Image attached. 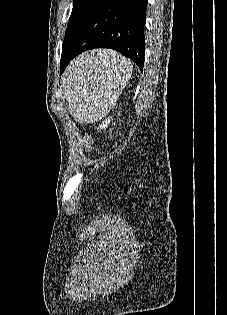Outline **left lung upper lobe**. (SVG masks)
<instances>
[{
    "label": "left lung upper lobe",
    "instance_id": "1",
    "mask_svg": "<svg viewBox=\"0 0 227 315\" xmlns=\"http://www.w3.org/2000/svg\"><path fill=\"white\" fill-rule=\"evenodd\" d=\"M97 1L98 0H74L73 9L66 29L63 45L75 29L78 22L89 13Z\"/></svg>",
    "mask_w": 227,
    "mask_h": 315
}]
</instances>
